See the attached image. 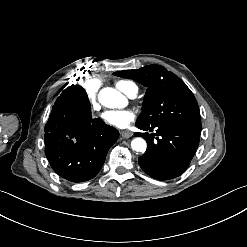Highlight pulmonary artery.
Wrapping results in <instances>:
<instances>
[{"instance_id": "pulmonary-artery-1", "label": "pulmonary artery", "mask_w": 247, "mask_h": 247, "mask_svg": "<svg viewBox=\"0 0 247 247\" xmlns=\"http://www.w3.org/2000/svg\"><path fill=\"white\" fill-rule=\"evenodd\" d=\"M129 96H134L135 95V90L134 89H129Z\"/></svg>"}]
</instances>
